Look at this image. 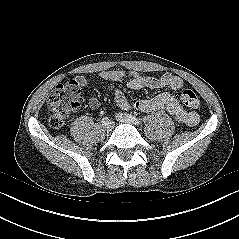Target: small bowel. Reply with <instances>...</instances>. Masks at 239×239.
<instances>
[{"instance_id":"small-bowel-1","label":"small bowel","mask_w":239,"mask_h":239,"mask_svg":"<svg viewBox=\"0 0 239 239\" xmlns=\"http://www.w3.org/2000/svg\"><path fill=\"white\" fill-rule=\"evenodd\" d=\"M100 80L108 83L109 89L113 92L115 102L118 107L124 110L135 108L141 112L150 113L165 109L172 115L179 123L186 126H194L199 122V115L193 111L185 110L178 100L169 92H162L153 98L145 100L131 101L125 94L112 83L126 81L127 86L131 89H162L170 88L172 90H179L183 87V80L177 75L165 73L160 77L147 76L138 72H124L122 70H107L99 74ZM80 86H86L89 80L84 76H77L75 78ZM88 105L91 109L99 108L100 101L97 97H91L88 100Z\"/></svg>"}]
</instances>
